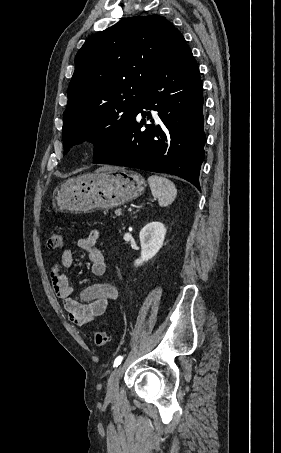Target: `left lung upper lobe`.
Instances as JSON below:
<instances>
[{
    "label": "left lung upper lobe",
    "instance_id": "5c2ea615",
    "mask_svg": "<svg viewBox=\"0 0 281 453\" xmlns=\"http://www.w3.org/2000/svg\"><path fill=\"white\" fill-rule=\"evenodd\" d=\"M178 34L162 16H133L86 40L68 87L64 154L90 140L95 163L120 139Z\"/></svg>",
    "mask_w": 281,
    "mask_h": 453
}]
</instances>
